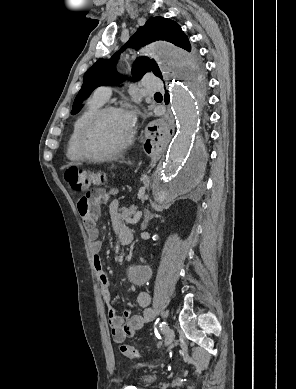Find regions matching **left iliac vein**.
I'll return each mask as SVG.
<instances>
[{
	"mask_svg": "<svg viewBox=\"0 0 296 389\" xmlns=\"http://www.w3.org/2000/svg\"><path fill=\"white\" fill-rule=\"evenodd\" d=\"M174 331L171 328H168L166 333H165V345H169L173 342L174 340Z\"/></svg>",
	"mask_w": 296,
	"mask_h": 389,
	"instance_id": "1",
	"label": "left iliac vein"
}]
</instances>
